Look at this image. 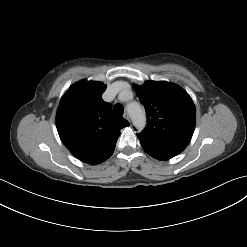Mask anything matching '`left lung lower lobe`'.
I'll return each instance as SVG.
<instances>
[{"label": "left lung lower lobe", "instance_id": "0a47b994", "mask_svg": "<svg viewBox=\"0 0 247 247\" xmlns=\"http://www.w3.org/2000/svg\"><path fill=\"white\" fill-rule=\"evenodd\" d=\"M142 145V144H141ZM144 151L149 154L151 157L158 159V160H168L174 156H176V154H171V153H166V152H161L155 149H152L150 147H147L145 145H142Z\"/></svg>", "mask_w": 247, "mask_h": 247}]
</instances>
